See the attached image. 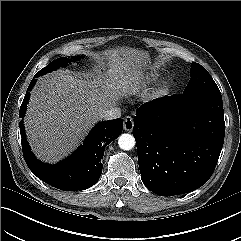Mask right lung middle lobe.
I'll return each mask as SVG.
<instances>
[{"mask_svg": "<svg viewBox=\"0 0 241 241\" xmlns=\"http://www.w3.org/2000/svg\"><path fill=\"white\" fill-rule=\"evenodd\" d=\"M79 58L77 56H71V57H61L54 61H52L50 64H48L45 68L41 69L37 75H43L46 73H49L51 71H54L60 67L66 66L69 62H73L78 60Z\"/></svg>", "mask_w": 241, "mask_h": 241, "instance_id": "obj_1", "label": "right lung middle lobe"}]
</instances>
